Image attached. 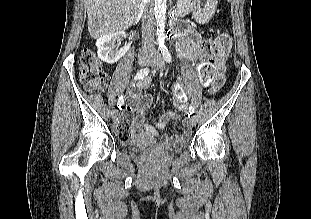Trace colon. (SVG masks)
<instances>
[{"label":"colon","instance_id":"5ec220e1","mask_svg":"<svg viewBox=\"0 0 311 219\" xmlns=\"http://www.w3.org/2000/svg\"><path fill=\"white\" fill-rule=\"evenodd\" d=\"M232 47L231 38L227 33H220L203 41L202 49L207 58L199 70L200 79L204 84L209 83L215 76L224 79V62L227 60ZM80 79L88 90H102L107 76L102 69L96 53L91 49H84L80 57ZM127 130V127H124ZM122 140L129 136L121 135Z\"/></svg>","mask_w":311,"mask_h":219}]
</instances>
